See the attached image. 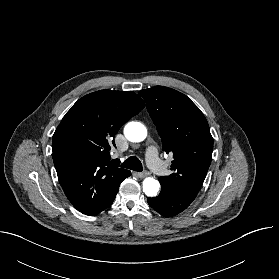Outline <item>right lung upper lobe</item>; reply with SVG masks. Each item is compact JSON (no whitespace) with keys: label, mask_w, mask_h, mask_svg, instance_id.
I'll return each instance as SVG.
<instances>
[{"label":"right lung upper lobe","mask_w":279,"mask_h":279,"mask_svg":"<svg viewBox=\"0 0 279 279\" xmlns=\"http://www.w3.org/2000/svg\"><path fill=\"white\" fill-rule=\"evenodd\" d=\"M144 107L132 91L100 90L79 99L63 117L53 135V161L60 185L78 211L98 209L130 174L109 161V150L120 127Z\"/></svg>","instance_id":"obj_1"}]
</instances>
